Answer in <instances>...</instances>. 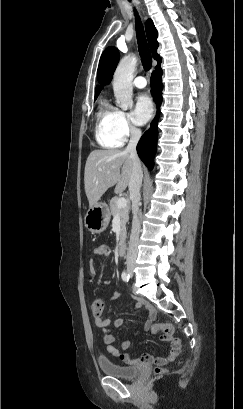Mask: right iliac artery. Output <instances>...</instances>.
<instances>
[{"mask_svg":"<svg viewBox=\"0 0 243 409\" xmlns=\"http://www.w3.org/2000/svg\"><path fill=\"white\" fill-rule=\"evenodd\" d=\"M121 277H122L123 281L128 282L129 278H130V275L126 271H123L122 274H121Z\"/></svg>","mask_w":243,"mask_h":409,"instance_id":"82829eb1","label":"right iliac artery"}]
</instances>
